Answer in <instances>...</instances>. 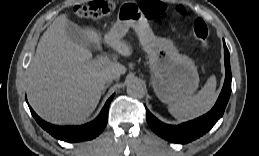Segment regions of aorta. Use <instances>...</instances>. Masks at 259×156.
<instances>
[{
    "label": "aorta",
    "mask_w": 259,
    "mask_h": 156,
    "mask_svg": "<svg viewBox=\"0 0 259 156\" xmlns=\"http://www.w3.org/2000/svg\"><path fill=\"white\" fill-rule=\"evenodd\" d=\"M127 93L134 98H143L145 90L139 81H132L127 86Z\"/></svg>",
    "instance_id": "1"
}]
</instances>
